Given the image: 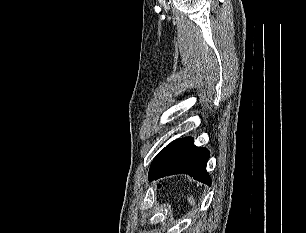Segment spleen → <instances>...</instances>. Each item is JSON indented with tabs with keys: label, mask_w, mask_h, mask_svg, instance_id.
<instances>
[{
	"label": "spleen",
	"mask_w": 306,
	"mask_h": 233,
	"mask_svg": "<svg viewBox=\"0 0 306 233\" xmlns=\"http://www.w3.org/2000/svg\"><path fill=\"white\" fill-rule=\"evenodd\" d=\"M187 198H188V202L191 204V206H193L194 207V209H195V199L193 198V196H187Z\"/></svg>",
	"instance_id": "spleen-1"
}]
</instances>
